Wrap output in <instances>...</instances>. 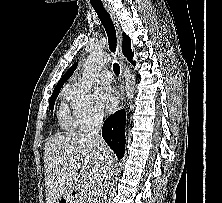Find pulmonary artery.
<instances>
[{
  "mask_svg": "<svg viewBox=\"0 0 222 203\" xmlns=\"http://www.w3.org/2000/svg\"><path fill=\"white\" fill-rule=\"evenodd\" d=\"M112 74L109 70H102L99 74V80L103 84H109L112 82Z\"/></svg>",
  "mask_w": 222,
  "mask_h": 203,
  "instance_id": "e3ab8cb5",
  "label": "pulmonary artery"
}]
</instances>
